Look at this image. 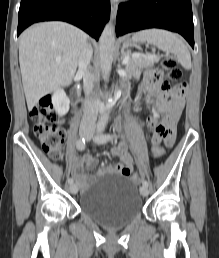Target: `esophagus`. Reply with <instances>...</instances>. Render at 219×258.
Returning a JSON list of instances; mask_svg holds the SVG:
<instances>
[{
    "instance_id": "obj_1",
    "label": "esophagus",
    "mask_w": 219,
    "mask_h": 258,
    "mask_svg": "<svg viewBox=\"0 0 219 258\" xmlns=\"http://www.w3.org/2000/svg\"><path fill=\"white\" fill-rule=\"evenodd\" d=\"M117 8H118L117 3L114 0H112V3H111V19L115 18L116 12H117Z\"/></svg>"
}]
</instances>
